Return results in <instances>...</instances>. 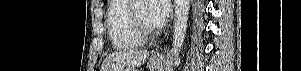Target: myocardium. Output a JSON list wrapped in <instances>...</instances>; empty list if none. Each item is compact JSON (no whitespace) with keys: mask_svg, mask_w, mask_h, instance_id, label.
Listing matches in <instances>:
<instances>
[{"mask_svg":"<svg viewBox=\"0 0 301 71\" xmlns=\"http://www.w3.org/2000/svg\"><path fill=\"white\" fill-rule=\"evenodd\" d=\"M142 0H133L129 6V19L134 32L143 40L153 38L157 34L156 28L147 27L137 14V4Z\"/></svg>","mask_w":301,"mask_h":71,"instance_id":"1","label":"myocardium"}]
</instances>
